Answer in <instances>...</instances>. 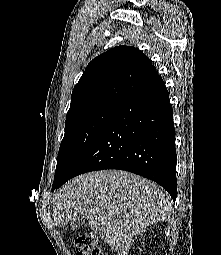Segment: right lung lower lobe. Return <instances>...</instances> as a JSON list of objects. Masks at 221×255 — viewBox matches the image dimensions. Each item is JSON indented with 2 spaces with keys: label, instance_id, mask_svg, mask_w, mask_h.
<instances>
[{
  "label": "right lung lower lobe",
  "instance_id": "98d812e1",
  "mask_svg": "<svg viewBox=\"0 0 221 255\" xmlns=\"http://www.w3.org/2000/svg\"><path fill=\"white\" fill-rule=\"evenodd\" d=\"M175 129L169 94L158 79L119 105L90 146L52 190L82 173L120 169L177 195Z\"/></svg>",
  "mask_w": 221,
  "mask_h": 255
}]
</instances>
